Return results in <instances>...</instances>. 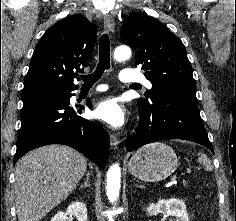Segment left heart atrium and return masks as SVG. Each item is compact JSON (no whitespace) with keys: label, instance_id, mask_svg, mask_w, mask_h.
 Here are the masks:
<instances>
[{"label":"left heart atrium","instance_id":"left-heart-atrium-1","mask_svg":"<svg viewBox=\"0 0 236 221\" xmlns=\"http://www.w3.org/2000/svg\"><path fill=\"white\" fill-rule=\"evenodd\" d=\"M93 115L113 128L122 127L127 121V111L121 102L114 97H108L97 103Z\"/></svg>","mask_w":236,"mask_h":221}]
</instances>
